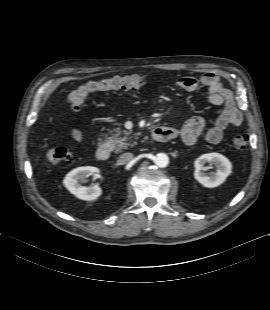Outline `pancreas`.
Returning a JSON list of instances; mask_svg holds the SVG:
<instances>
[{
	"mask_svg": "<svg viewBox=\"0 0 270 310\" xmlns=\"http://www.w3.org/2000/svg\"><path fill=\"white\" fill-rule=\"evenodd\" d=\"M130 134L131 132L117 128L110 133V136L106 135L105 144L110 150H115L116 152L127 149L128 146H132L135 143Z\"/></svg>",
	"mask_w": 270,
	"mask_h": 310,
	"instance_id": "1",
	"label": "pancreas"
}]
</instances>
